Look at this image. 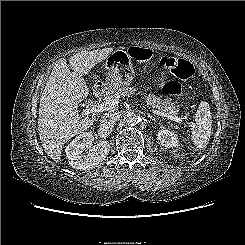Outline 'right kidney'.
<instances>
[{
  "label": "right kidney",
  "mask_w": 245,
  "mask_h": 245,
  "mask_svg": "<svg viewBox=\"0 0 245 245\" xmlns=\"http://www.w3.org/2000/svg\"><path fill=\"white\" fill-rule=\"evenodd\" d=\"M92 138V133L86 132L75 137L70 144L66 146L65 153L69 164L73 168L79 170L93 168L108 155L110 150L109 142L101 141L90 148ZM84 151H87L86 154L83 153Z\"/></svg>",
  "instance_id": "1"
}]
</instances>
